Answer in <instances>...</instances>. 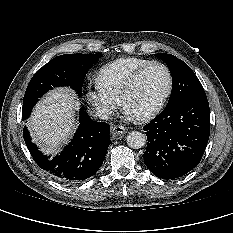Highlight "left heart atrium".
<instances>
[{
	"instance_id": "left-heart-atrium-1",
	"label": "left heart atrium",
	"mask_w": 233,
	"mask_h": 233,
	"mask_svg": "<svg viewBox=\"0 0 233 233\" xmlns=\"http://www.w3.org/2000/svg\"><path fill=\"white\" fill-rule=\"evenodd\" d=\"M126 114L129 115V116H132V115H131L130 113H128L127 111H126Z\"/></svg>"
}]
</instances>
